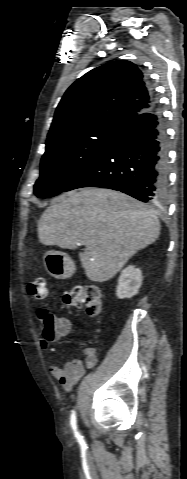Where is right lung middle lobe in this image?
<instances>
[{
    "mask_svg": "<svg viewBox=\"0 0 187 479\" xmlns=\"http://www.w3.org/2000/svg\"><path fill=\"white\" fill-rule=\"evenodd\" d=\"M120 131L110 125H94L68 131L46 142L40 178L34 185L35 195L49 198L63 192L105 151Z\"/></svg>",
    "mask_w": 187,
    "mask_h": 479,
    "instance_id": "dd1d6c3e",
    "label": "right lung middle lobe"
}]
</instances>
